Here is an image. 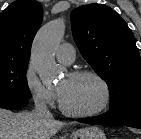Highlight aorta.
Segmentation results:
<instances>
[{"label":"aorta","mask_w":141,"mask_h":139,"mask_svg":"<svg viewBox=\"0 0 141 139\" xmlns=\"http://www.w3.org/2000/svg\"><path fill=\"white\" fill-rule=\"evenodd\" d=\"M64 33L65 21L58 18L44 25L34 39L31 50L32 63L45 85L50 84L59 75L54 55Z\"/></svg>","instance_id":"obj_1"}]
</instances>
